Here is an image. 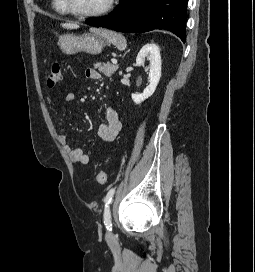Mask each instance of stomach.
I'll return each instance as SVG.
<instances>
[{"label":"stomach","mask_w":255,"mask_h":272,"mask_svg":"<svg viewBox=\"0 0 255 272\" xmlns=\"http://www.w3.org/2000/svg\"><path fill=\"white\" fill-rule=\"evenodd\" d=\"M107 44L106 38L99 34L85 33L83 35L64 34L58 39V45L63 53L73 55L85 52L92 55L101 53Z\"/></svg>","instance_id":"stomach-1"}]
</instances>
